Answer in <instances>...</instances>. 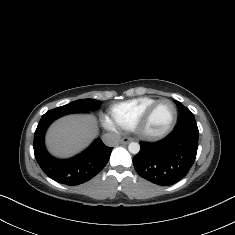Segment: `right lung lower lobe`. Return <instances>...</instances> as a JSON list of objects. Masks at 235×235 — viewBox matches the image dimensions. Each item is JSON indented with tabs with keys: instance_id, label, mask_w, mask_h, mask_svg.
<instances>
[{
	"instance_id": "right-lung-lower-lobe-1",
	"label": "right lung lower lobe",
	"mask_w": 235,
	"mask_h": 235,
	"mask_svg": "<svg viewBox=\"0 0 235 235\" xmlns=\"http://www.w3.org/2000/svg\"><path fill=\"white\" fill-rule=\"evenodd\" d=\"M61 116L53 109L42 116L34 136L35 158L51 179L68 185H79L92 179L104 168L112 148L96 139L89 148L75 157L66 160L52 157L44 146V135L48 126Z\"/></svg>"
}]
</instances>
